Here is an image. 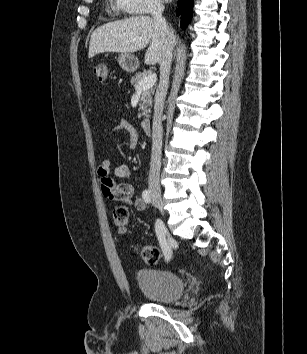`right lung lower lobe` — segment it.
<instances>
[{
	"mask_svg": "<svg viewBox=\"0 0 307 354\" xmlns=\"http://www.w3.org/2000/svg\"><path fill=\"white\" fill-rule=\"evenodd\" d=\"M193 0H179L177 14H181V26L186 27L192 17Z\"/></svg>",
	"mask_w": 307,
	"mask_h": 354,
	"instance_id": "98d812e1",
	"label": "right lung lower lobe"
}]
</instances>
